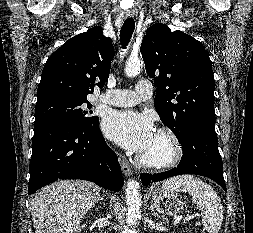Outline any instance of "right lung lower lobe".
<instances>
[{
  "label": "right lung lower lobe",
  "instance_id": "1",
  "mask_svg": "<svg viewBox=\"0 0 253 233\" xmlns=\"http://www.w3.org/2000/svg\"><path fill=\"white\" fill-rule=\"evenodd\" d=\"M99 121L88 128L63 122L34 126L28 194L58 179H82L118 192L124 183L116 154L107 146Z\"/></svg>",
  "mask_w": 253,
  "mask_h": 233
}]
</instances>
